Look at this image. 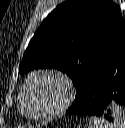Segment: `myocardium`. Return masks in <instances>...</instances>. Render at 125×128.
<instances>
[{"label": "myocardium", "mask_w": 125, "mask_h": 128, "mask_svg": "<svg viewBox=\"0 0 125 128\" xmlns=\"http://www.w3.org/2000/svg\"><path fill=\"white\" fill-rule=\"evenodd\" d=\"M40 76L52 77L60 81L64 87V96L62 98V101L59 103V105L53 110L39 114H31L27 112L25 109L24 96L26 90L28 89L32 81ZM74 96H75V88L70 77H68L63 72L55 69H39L30 73L27 79L25 80L24 84L22 85L19 93V108L21 113L30 120H35V121L50 120L58 117L65 110H67L71 105Z\"/></svg>", "instance_id": "1"}]
</instances>
